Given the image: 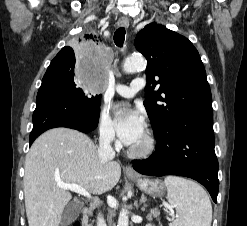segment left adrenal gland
Returning a JSON list of instances; mask_svg holds the SVG:
<instances>
[{
  "label": "left adrenal gland",
  "mask_w": 247,
  "mask_h": 226,
  "mask_svg": "<svg viewBox=\"0 0 247 226\" xmlns=\"http://www.w3.org/2000/svg\"><path fill=\"white\" fill-rule=\"evenodd\" d=\"M147 198L145 197L144 194L141 195V198L139 200V205H143V207H141V210L144 211L145 208L147 207ZM139 205L137 204L136 207L139 208Z\"/></svg>",
  "instance_id": "a2214340"
}]
</instances>
